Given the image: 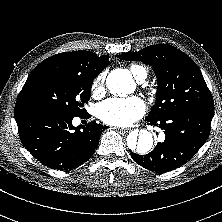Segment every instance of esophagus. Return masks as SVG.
I'll return each mask as SVG.
<instances>
[{
  "mask_svg": "<svg viewBox=\"0 0 222 222\" xmlns=\"http://www.w3.org/2000/svg\"><path fill=\"white\" fill-rule=\"evenodd\" d=\"M119 131L122 133H127L130 131V129L120 128Z\"/></svg>",
  "mask_w": 222,
  "mask_h": 222,
  "instance_id": "obj_1",
  "label": "esophagus"
}]
</instances>
